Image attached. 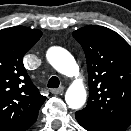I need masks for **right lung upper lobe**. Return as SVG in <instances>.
Returning a JSON list of instances; mask_svg holds the SVG:
<instances>
[{
	"instance_id": "cb5924a9",
	"label": "right lung upper lobe",
	"mask_w": 131,
	"mask_h": 131,
	"mask_svg": "<svg viewBox=\"0 0 131 131\" xmlns=\"http://www.w3.org/2000/svg\"><path fill=\"white\" fill-rule=\"evenodd\" d=\"M42 36L24 26L0 30V131H13L37 118L46 97L33 85L23 56Z\"/></svg>"
}]
</instances>
